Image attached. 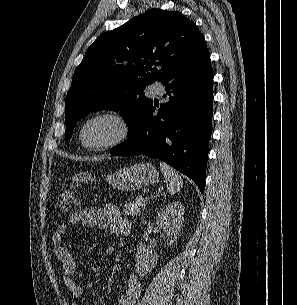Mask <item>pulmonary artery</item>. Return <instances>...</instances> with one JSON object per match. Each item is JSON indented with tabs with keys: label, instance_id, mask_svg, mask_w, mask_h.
Masks as SVG:
<instances>
[{
	"label": "pulmonary artery",
	"instance_id": "obj_1",
	"mask_svg": "<svg viewBox=\"0 0 297 305\" xmlns=\"http://www.w3.org/2000/svg\"><path fill=\"white\" fill-rule=\"evenodd\" d=\"M149 90L153 95H161L164 92V86L160 82H154Z\"/></svg>",
	"mask_w": 297,
	"mask_h": 305
}]
</instances>
